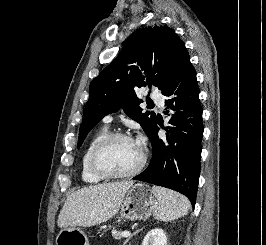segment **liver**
<instances>
[{
	"label": "liver",
	"mask_w": 266,
	"mask_h": 245,
	"mask_svg": "<svg viewBox=\"0 0 266 245\" xmlns=\"http://www.w3.org/2000/svg\"><path fill=\"white\" fill-rule=\"evenodd\" d=\"M133 185V181L105 183L71 193L58 217V227H93L106 223L118 213L121 201Z\"/></svg>",
	"instance_id": "1"
}]
</instances>
